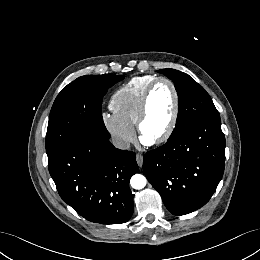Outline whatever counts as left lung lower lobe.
<instances>
[{
    "label": "left lung lower lobe",
    "mask_w": 260,
    "mask_h": 260,
    "mask_svg": "<svg viewBox=\"0 0 260 260\" xmlns=\"http://www.w3.org/2000/svg\"><path fill=\"white\" fill-rule=\"evenodd\" d=\"M225 137L220 117L197 120L144 155L143 169L174 215L205 205L224 171Z\"/></svg>",
    "instance_id": "0a47b994"
}]
</instances>
